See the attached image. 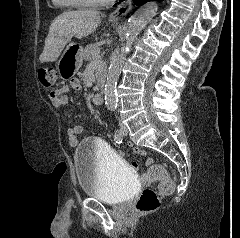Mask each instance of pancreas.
Masks as SVG:
<instances>
[{"mask_svg": "<svg viewBox=\"0 0 240 238\" xmlns=\"http://www.w3.org/2000/svg\"><path fill=\"white\" fill-rule=\"evenodd\" d=\"M94 53H100V48L98 47L97 44H89L85 47L84 52H83V56L84 59L89 63V66L91 67H95V81H96V85L94 86L93 90L96 91L100 88L101 86V82L102 79L105 77L106 74V65L105 63L102 61L97 62L93 59V54Z\"/></svg>", "mask_w": 240, "mask_h": 238, "instance_id": "obj_1", "label": "pancreas"}]
</instances>
